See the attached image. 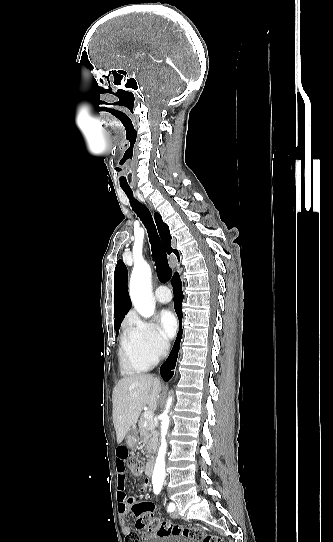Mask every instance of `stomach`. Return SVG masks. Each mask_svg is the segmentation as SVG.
I'll return each instance as SVG.
<instances>
[{
  "label": "stomach",
  "instance_id": "0dacf381",
  "mask_svg": "<svg viewBox=\"0 0 333 542\" xmlns=\"http://www.w3.org/2000/svg\"><path fill=\"white\" fill-rule=\"evenodd\" d=\"M127 446L129 448H136L138 442H139V436L136 428H130L129 432H127V436L125 438Z\"/></svg>",
  "mask_w": 333,
  "mask_h": 542
}]
</instances>
